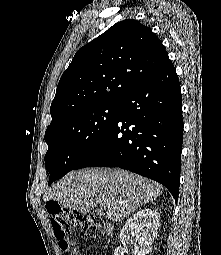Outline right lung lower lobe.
<instances>
[{
    "label": "right lung lower lobe",
    "instance_id": "right-lung-lower-lobe-1",
    "mask_svg": "<svg viewBox=\"0 0 221 255\" xmlns=\"http://www.w3.org/2000/svg\"><path fill=\"white\" fill-rule=\"evenodd\" d=\"M103 136L74 167H119L179 193L182 100L176 70L168 59L133 89Z\"/></svg>",
    "mask_w": 221,
    "mask_h": 255
}]
</instances>
